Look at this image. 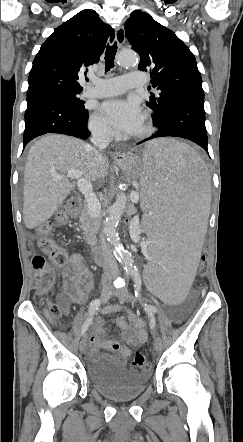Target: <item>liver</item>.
I'll list each match as a JSON object with an SVG mask.
<instances>
[{
  "label": "liver",
  "instance_id": "liver-1",
  "mask_svg": "<svg viewBox=\"0 0 243 442\" xmlns=\"http://www.w3.org/2000/svg\"><path fill=\"white\" fill-rule=\"evenodd\" d=\"M79 170L88 181H96L108 174L109 161L102 156L94 159V147L80 139L48 134L30 148L24 172L23 219L33 229L52 217L75 187L66 174ZM55 175H63L55 180Z\"/></svg>",
  "mask_w": 243,
  "mask_h": 442
}]
</instances>
